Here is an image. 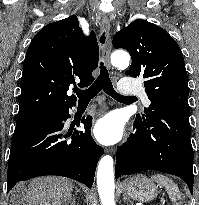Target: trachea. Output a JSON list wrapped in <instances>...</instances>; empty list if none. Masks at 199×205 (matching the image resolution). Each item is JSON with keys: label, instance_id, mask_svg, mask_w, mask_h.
Listing matches in <instances>:
<instances>
[{"label": "trachea", "instance_id": "3493384b", "mask_svg": "<svg viewBox=\"0 0 199 205\" xmlns=\"http://www.w3.org/2000/svg\"><path fill=\"white\" fill-rule=\"evenodd\" d=\"M100 43H105V35L103 34L100 37ZM101 90H103L106 94L110 95L111 97L121 100L126 99L131 96H123L118 94L112 85V82L109 77L108 70L106 66H104L103 62L100 63V74L96 81L86 90H75L74 92L78 96L80 101L84 100H91L93 97H95Z\"/></svg>", "mask_w": 199, "mask_h": 205}]
</instances>
